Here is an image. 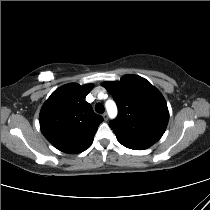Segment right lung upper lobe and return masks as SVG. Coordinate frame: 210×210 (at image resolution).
Instances as JSON below:
<instances>
[{"mask_svg":"<svg viewBox=\"0 0 210 210\" xmlns=\"http://www.w3.org/2000/svg\"><path fill=\"white\" fill-rule=\"evenodd\" d=\"M92 88V84H66L55 90L44 103L39 116L40 129L58 150L77 154L92 144L103 121L85 101Z\"/></svg>","mask_w":210,"mask_h":210,"instance_id":"cb5924a9","label":"right lung upper lobe"}]
</instances>
